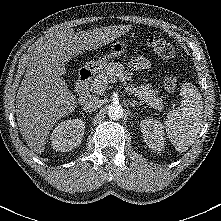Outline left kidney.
<instances>
[{"label": "left kidney", "instance_id": "1", "mask_svg": "<svg viewBox=\"0 0 221 221\" xmlns=\"http://www.w3.org/2000/svg\"><path fill=\"white\" fill-rule=\"evenodd\" d=\"M140 128L143 139L149 148L161 151L165 145L163 126L158 120L146 118L141 120Z\"/></svg>", "mask_w": 221, "mask_h": 221}]
</instances>
